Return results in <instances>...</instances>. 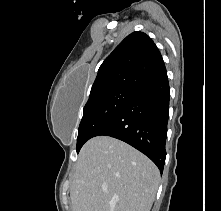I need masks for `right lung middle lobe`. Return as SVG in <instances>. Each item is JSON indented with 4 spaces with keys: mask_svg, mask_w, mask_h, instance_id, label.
<instances>
[{
    "mask_svg": "<svg viewBox=\"0 0 221 211\" xmlns=\"http://www.w3.org/2000/svg\"><path fill=\"white\" fill-rule=\"evenodd\" d=\"M132 91L117 88L89 98L78 128L77 152L122 108Z\"/></svg>",
    "mask_w": 221,
    "mask_h": 211,
    "instance_id": "dd1d6c3e",
    "label": "right lung middle lobe"
}]
</instances>
